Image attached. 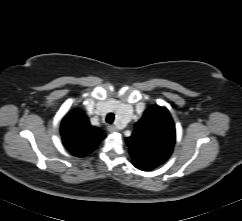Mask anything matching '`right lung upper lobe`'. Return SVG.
Returning <instances> with one entry per match:
<instances>
[{
  "instance_id": "cb5924a9",
  "label": "right lung upper lobe",
  "mask_w": 242,
  "mask_h": 221,
  "mask_svg": "<svg viewBox=\"0 0 242 221\" xmlns=\"http://www.w3.org/2000/svg\"><path fill=\"white\" fill-rule=\"evenodd\" d=\"M61 136L66 149L77 157L90 154L106 137L101 129L90 125L86 114L81 110H74L64 117Z\"/></svg>"
}]
</instances>
